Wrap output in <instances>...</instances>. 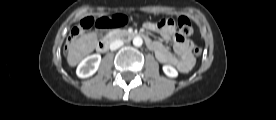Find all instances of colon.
<instances>
[{"instance_id": "5ec220e1", "label": "colon", "mask_w": 276, "mask_h": 120, "mask_svg": "<svg viewBox=\"0 0 276 120\" xmlns=\"http://www.w3.org/2000/svg\"><path fill=\"white\" fill-rule=\"evenodd\" d=\"M125 24V19L123 17L114 16L112 19L102 18L97 21H94L90 17L83 18L77 26L71 30V34L68 39V43H71L80 32L87 30L92 25H95L98 28H107L114 26H123ZM174 21L171 19H164L159 22V25L162 27H172L174 26ZM179 35L181 37L190 36L193 33V26L191 20L186 16H181L177 20ZM203 50V43L201 40L197 39L193 42V53L196 56L201 55Z\"/></svg>"}]
</instances>
